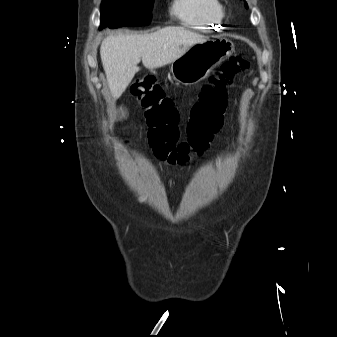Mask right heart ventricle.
Here are the masks:
<instances>
[{
  "label": "right heart ventricle",
  "instance_id": "right-heart-ventricle-1",
  "mask_svg": "<svg viewBox=\"0 0 337 337\" xmlns=\"http://www.w3.org/2000/svg\"><path fill=\"white\" fill-rule=\"evenodd\" d=\"M171 12L184 25L200 31L220 29L226 18L221 0H173Z\"/></svg>",
  "mask_w": 337,
  "mask_h": 337
}]
</instances>
